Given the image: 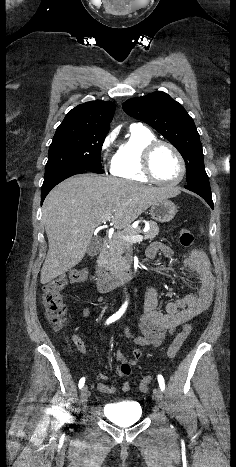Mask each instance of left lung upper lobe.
Masks as SVG:
<instances>
[{
	"instance_id": "obj_1",
	"label": "left lung upper lobe",
	"mask_w": 236,
	"mask_h": 467,
	"mask_svg": "<svg viewBox=\"0 0 236 467\" xmlns=\"http://www.w3.org/2000/svg\"><path fill=\"white\" fill-rule=\"evenodd\" d=\"M123 110L163 135L186 163L187 183L208 180L200 136L193 119L180 103L164 92L136 97L123 103Z\"/></svg>"
}]
</instances>
